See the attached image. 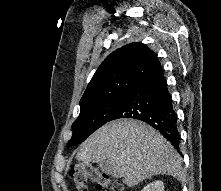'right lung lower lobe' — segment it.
<instances>
[{
    "label": "right lung lower lobe",
    "instance_id": "98d812e1",
    "mask_svg": "<svg viewBox=\"0 0 221 191\" xmlns=\"http://www.w3.org/2000/svg\"><path fill=\"white\" fill-rule=\"evenodd\" d=\"M119 118H133L149 124L179 149L177 114L173 109L162 69L134 86L125 95L110 121Z\"/></svg>",
    "mask_w": 221,
    "mask_h": 191
}]
</instances>
